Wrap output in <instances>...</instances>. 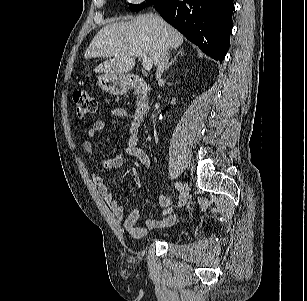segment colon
Listing matches in <instances>:
<instances>
[{
  "label": "colon",
  "mask_w": 307,
  "mask_h": 301,
  "mask_svg": "<svg viewBox=\"0 0 307 301\" xmlns=\"http://www.w3.org/2000/svg\"><path fill=\"white\" fill-rule=\"evenodd\" d=\"M76 115L85 118L97 110V99L87 91H78L73 94Z\"/></svg>",
  "instance_id": "obj_1"
}]
</instances>
